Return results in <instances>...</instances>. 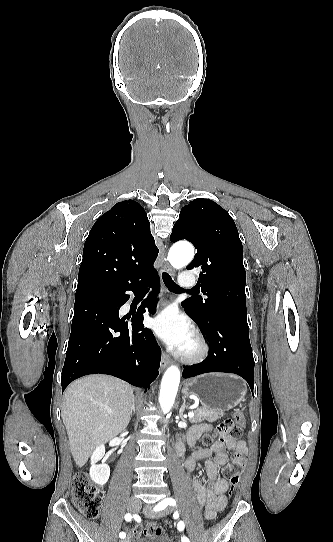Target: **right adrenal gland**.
<instances>
[{
	"instance_id": "obj_1",
	"label": "right adrenal gland",
	"mask_w": 333,
	"mask_h": 542,
	"mask_svg": "<svg viewBox=\"0 0 333 542\" xmlns=\"http://www.w3.org/2000/svg\"><path fill=\"white\" fill-rule=\"evenodd\" d=\"M132 412H135V402H133L132 404L131 416H132Z\"/></svg>"
}]
</instances>
